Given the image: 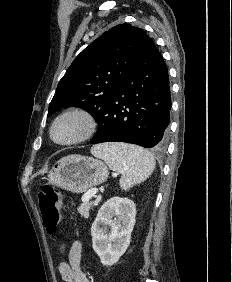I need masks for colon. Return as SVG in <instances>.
I'll use <instances>...</instances> for the list:
<instances>
[{
  "mask_svg": "<svg viewBox=\"0 0 232 282\" xmlns=\"http://www.w3.org/2000/svg\"><path fill=\"white\" fill-rule=\"evenodd\" d=\"M38 203L46 230L53 233L59 224L63 201L53 186H44L38 193Z\"/></svg>",
  "mask_w": 232,
  "mask_h": 282,
  "instance_id": "colon-1",
  "label": "colon"
}]
</instances>
